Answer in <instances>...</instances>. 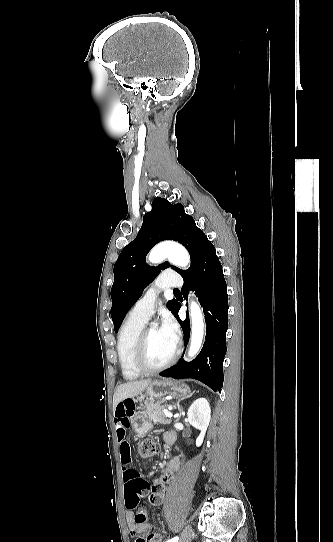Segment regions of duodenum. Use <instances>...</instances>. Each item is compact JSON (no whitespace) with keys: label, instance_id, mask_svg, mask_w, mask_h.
Segmentation results:
<instances>
[{"label":"duodenum","instance_id":"duodenum-1","mask_svg":"<svg viewBox=\"0 0 333 542\" xmlns=\"http://www.w3.org/2000/svg\"><path fill=\"white\" fill-rule=\"evenodd\" d=\"M175 440V436L173 433H168L165 435V441L168 443V444H172Z\"/></svg>","mask_w":333,"mask_h":542}]
</instances>
